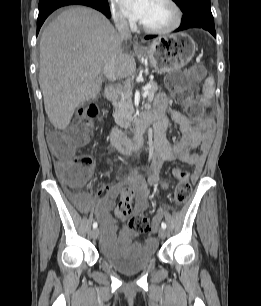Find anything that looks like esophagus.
Returning a JSON list of instances; mask_svg holds the SVG:
<instances>
[{
  "mask_svg": "<svg viewBox=\"0 0 261 306\" xmlns=\"http://www.w3.org/2000/svg\"><path fill=\"white\" fill-rule=\"evenodd\" d=\"M134 45H135V47H139L140 46L137 41H134Z\"/></svg>",
  "mask_w": 261,
  "mask_h": 306,
  "instance_id": "esophagus-1",
  "label": "esophagus"
}]
</instances>
